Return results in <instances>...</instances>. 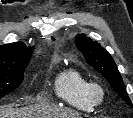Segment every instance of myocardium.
I'll list each match as a JSON object with an SVG mask.
<instances>
[{"label":"myocardium","mask_w":133,"mask_h":118,"mask_svg":"<svg viewBox=\"0 0 133 118\" xmlns=\"http://www.w3.org/2000/svg\"><path fill=\"white\" fill-rule=\"evenodd\" d=\"M89 97L94 105H100L104 102L106 92L104 88L97 82L89 83Z\"/></svg>","instance_id":"obj_1"}]
</instances>
